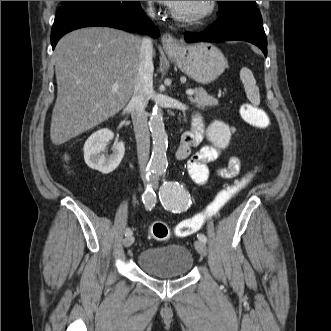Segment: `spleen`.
Returning a JSON list of instances; mask_svg holds the SVG:
<instances>
[{"label": "spleen", "mask_w": 331, "mask_h": 331, "mask_svg": "<svg viewBox=\"0 0 331 331\" xmlns=\"http://www.w3.org/2000/svg\"><path fill=\"white\" fill-rule=\"evenodd\" d=\"M240 79L244 84L245 92L248 100L257 106L260 103L259 88L256 85V80L253 73L248 68H242L240 71Z\"/></svg>", "instance_id": "3e777b00"}]
</instances>
